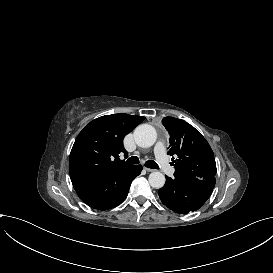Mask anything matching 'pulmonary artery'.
Listing matches in <instances>:
<instances>
[{"instance_id":"1","label":"pulmonary artery","mask_w":273,"mask_h":273,"mask_svg":"<svg viewBox=\"0 0 273 273\" xmlns=\"http://www.w3.org/2000/svg\"><path fill=\"white\" fill-rule=\"evenodd\" d=\"M154 150L159 155L158 159L160 161L161 167L165 172L166 177L169 179L174 178L176 175V171L171 160L169 159L168 154L166 153L167 152L166 147L163 144L158 143L155 145Z\"/></svg>"}]
</instances>
